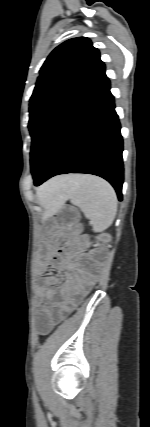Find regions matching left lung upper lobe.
Segmentation results:
<instances>
[{
  "instance_id": "5c2ea615",
  "label": "left lung upper lobe",
  "mask_w": 150,
  "mask_h": 427,
  "mask_svg": "<svg viewBox=\"0 0 150 427\" xmlns=\"http://www.w3.org/2000/svg\"><path fill=\"white\" fill-rule=\"evenodd\" d=\"M105 71L98 49L85 37L56 47L40 69L30 99L31 136Z\"/></svg>"
}]
</instances>
